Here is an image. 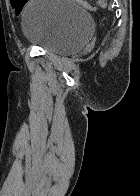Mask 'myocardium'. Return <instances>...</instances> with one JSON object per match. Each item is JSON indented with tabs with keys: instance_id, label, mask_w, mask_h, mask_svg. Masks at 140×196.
I'll use <instances>...</instances> for the list:
<instances>
[{
	"instance_id": "obj_1",
	"label": "myocardium",
	"mask_w": 140,
	"mask_h": 196,
	"mask_svg": "<svg viewBox=\"0 0 140 196\" xmlns=\"http://www.w3.org/2000/svg\"><path fill=\"white\" fill-rule=\"evenodd\" d=\"M35 192H46V191H35ZM55 192H66V191H55Z\"/></svg>"
}]
</instances>
